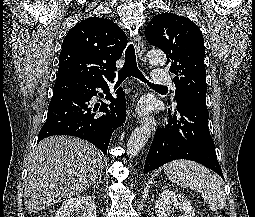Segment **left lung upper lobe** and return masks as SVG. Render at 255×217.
<instances>
[{
	"instance_id": "1",
	"label": "left lung upper lobe",
	"mask_w": 255,
	"mask_h": 217,
	"mask_svg": "<svg viewBox=\"0 0 255 217\" xmlns=\"http://www.w3.org/2000/svg\"><path fill=\"white\" fill-rule=\"evenodd\" d=\"M145 37L167 56L170 71L176 75V101L194 98L206 103L204 38L198 26L183 16L163 13L151 19Z\"/></svg>"
}]
</instances>
